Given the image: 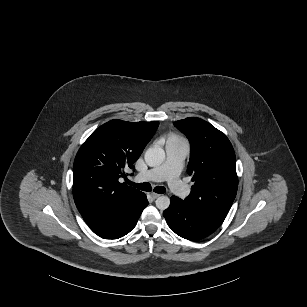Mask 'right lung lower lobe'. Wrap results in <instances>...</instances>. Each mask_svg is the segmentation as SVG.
I'll return each instance as SVG.
<instances>
[{
    "instance_id": "98d812e1",
    "label": "right lung lower lobe",
    "mask_w": 307,
    "mask_h": 307,
    "mask_svg": "<svg viewBox=\"0 0 307 307\" xmlns=\"http://www.w3.org/2000/svg\"><path fill=\"white\" fill-rule=\"evenodd\" d=\"M148 205L144 193L134 197L117 211L89 223V227L98 236L105 239H117L129 233L136 225L143 209Z\"/></svg>"
}]
</instances>
